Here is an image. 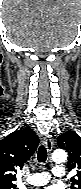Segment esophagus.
Returning <instances> with one entry per match:
<instances>
[{"mask_svg": "<svg viewBox=\"0 0 81 189\" xmlns=\"http://www.w3.org/2000/svg\"><path fill=\"white\" fill-rule=\"evenodd\" d=\"M42 142L45 145L49 154H51L53 149V142L50 135H45L42 137Z\"/></svg>", "mask_w": 81, "mask_h": 189, "instance_id": "1", "label": "esophagus"}]
</instances>
